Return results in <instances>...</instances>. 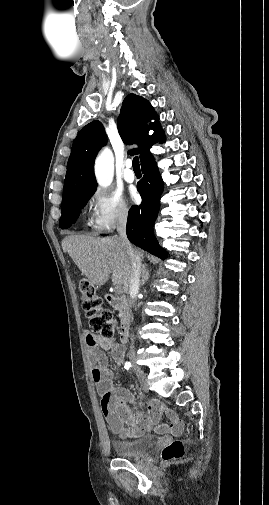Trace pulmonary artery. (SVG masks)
Here are the masks:
<instances>
[{"instance_id": "1", "label": "pulmonary artery", "mask_w": 269, "mask_h": 505, "mask_svg": "<svg viewBox=\"0 0 269 505\" xmlns=\"http://www.w3.org/2000/svg\"><path fill=\"white\" fill-rule=\"evenodd\" d=\"M123 177L125 179V181L131 183V182H134L135 181V173L134 171L132 170V161L131 160H127L125 162V169L123 171Z\"/></svg>"}]
</instances>
